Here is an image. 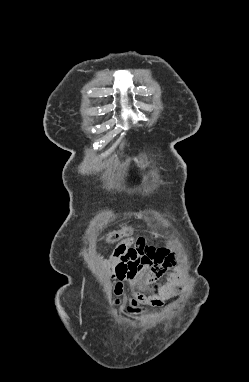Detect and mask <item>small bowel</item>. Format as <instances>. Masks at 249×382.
<instances>
[{"label":"small bowel","instance_id":"c3829d8e","mask_svg":"<svg viewBox=\"0 0 249 382\" xmlns=\"http://www.w3.org/2000/svg\"><path fill=\"white\" fill-rule=\"evenodd\" d=\"M155 236H157V234L154 233L152 237ZM153 245L152 241H148L144 237L124 239L115 246L110 257L104 261L105 268L115 280L114 293L117 296L116 303L122 304L128 302L129 306L126 311L129 313L140 311V309L135 308L138 303L149 301L151 304L159 306L165 300V297L162 301H160L159 298L147 300L141 294H135L127 300L121 298L125 282H129L134 277V266H139L142 261L144 255L143 248H152ZM160 252L164 253L166 251L161 250ZM147 282L151 281L147 279Z\"/></svg>","mask_w":249,"mask_h":382}]
</instances>
